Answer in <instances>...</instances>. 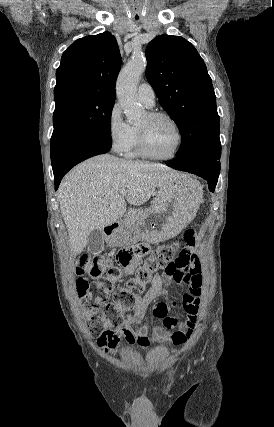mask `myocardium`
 <instances>
[{"instance_id": "obj_1", "label": "myocardium", "mask_w": 274, "mask_h": 427, "mask_svg": "<svg viewBox=\"0 0 274 427\" xmlns=\"http://www.w3.org/2000/svg\"><path fill=\"white\" fill-rule=\"evenodd\" d=\"M146 114L149 120H156V119L167 120L175 130L177 141H176V146L171 154L167 156H156L148 151L145 144L144 134L140 128L136 127L135 129L136 142H137V148L140 155L144 158L155 160V161H168L175 158L179 154L182 147V143H183V134L177 121L171 115L165 112L152 111V112H147Z\"/></svg>"}]
</instances>
